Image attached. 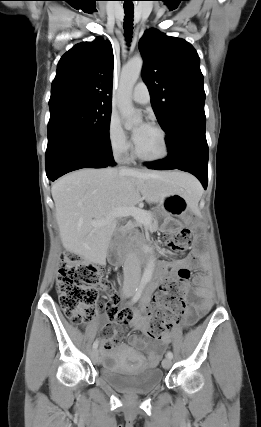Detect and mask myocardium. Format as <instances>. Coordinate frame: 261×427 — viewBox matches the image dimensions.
I'll return each mask as SVG.
<instances>
[{"label": "myocardium", "instance_id": "obj_1", "mask_svg": "<svg viewBox=\"0 0 261 427\" xmlns=\"http://www.w3.org/2000/svg\"><path fill=\"white\" fill-rule=\"evenodd\" d=\"M150 127L155 129L160 134L161 139H162V144H163V152L159 156H156V157H145V156H142L141 154L138 153L136 146H135L133 148L134 158H136L137 160H139L141 162H145V163H155V162L162 161L168 157L169 152H170L169 141H168L166 131L160 125H157V124H152Z\"/></svg>", "mask_w": 261, "mask_h": 427}]
</instances>
